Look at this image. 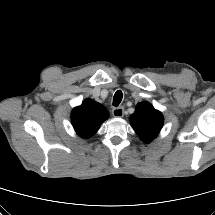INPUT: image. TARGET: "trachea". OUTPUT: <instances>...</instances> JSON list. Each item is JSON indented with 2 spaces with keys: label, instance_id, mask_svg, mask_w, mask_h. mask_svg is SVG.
<instances>
[{
  "label": "trachea",
  "instance_id": "obj_1",
  "mask_svg": "<svg viewBox=\"0 0 215 215\" xmlns=\"http://www.w3.org/2000/svg\"><path fill=\"white\" fill-rule=\"evenodd\" d=\"M122 98H123V94L120 90H118L115 94H114V97H113V106H118L121 101H122Z\"/></svg>",
  "mask_w": 215,
  "mask_h": 215
}]
</instances>
